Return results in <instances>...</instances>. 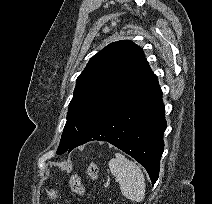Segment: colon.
<instances>
[{"label": "colon", "mask_w": 212, "mask_h": 204, "mask_svg": "<svg viewBox=\"0 0 212 204\" xmlns=\"http://www.w3.org/2000/svg\"><path fill=\"white\" fill-rule=\"evenodd\" d=\"M86 172L92 180H96L98 178L97 164L95 162H89L86 166ZM70 187L75 194L79 196L84 195L85 189L83 187V184L81 182V178L79 175L74 174L71 176Z\"/></svg>", "instance_id": "1"}]
</instances>
